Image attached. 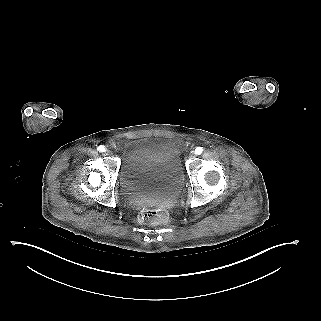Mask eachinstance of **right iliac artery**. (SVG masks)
I'll return each instance as SVG.
<instances>
[{
    "label": "right iliac artery",
    "instance_id": "right-iliac-artery-1",
    "mask_svg": "<svg viewBox=\"0 0 321 321\" xmlns=\"http://www.w3.org/2000/svg\"><path fill=\"white\" fill-rule=\"evenodd\" d=\"M97 150H98L99 152H104V151H105V147H104L103 145H100V146L97 148Z\"/></svg>",
    "mask_w": 321,
    "mask_h": 321
}]
</instances>
